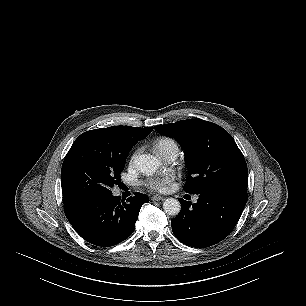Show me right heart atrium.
<instances>
[{
    "instance_id": "obj_1",
    "label": "right heart atrium",
    "mask_w": 306,
    "mask_h": 306,
    "mask_svg": "<svg viewBox=\"0 0 306 306\" xmlns=\"http://www.w3.org/2000/svg\"><path fill=\"white\" fill-rule=\"evenodd\" d=\"M139 152H140V150L138 149V150H136V151L133 153V155H132V157H131V162H132V163H133V162L135 161V159L137 158Z\"/></svg>"
}]
</instances>
